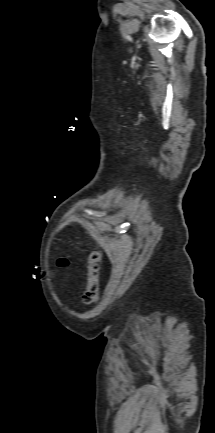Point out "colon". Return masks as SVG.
I'll return each mask as SVG.
<instances>
[{
  "label": "colon",
  "mask_w": 215,
  "mask_h": 433,
  "mask_svg": "<svg viewBox=\"0 0 215 433\" xmlns=\"http://www.w3.org/2000/svg\"><path fill=\"white\" fill-rule=\"evenodd\" d=\"M70 263L69 258L60 257L57 260L59 267H67ZM100 268H101V253L99 251H92L87 260V284L83 293V303L86 306L93 305L98 297L100 286Z\"/></svg>",
  "instance_id": "obj_1"
}]
</instances>
